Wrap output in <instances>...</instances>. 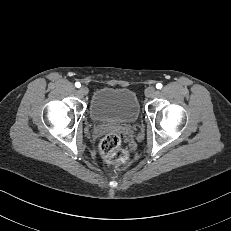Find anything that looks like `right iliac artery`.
I'll list each match as a JSON object with an SVG mask.
<instances>
[{
  "mask_svg": "<svg viewBox=\"0 0 231 231\" xmlns=\"http://www.w3.org/2000/svg\"><path fill=\"white\" fill-rule=\"evenodd\" d=\"M75 86H76L77 88H79V87L81 86V84H80L79 82H76V83H75Z\"/></svg>",
  "mask_w": 231,
  "mask_h": 231,
  "instance_id": "1",
  "label": "right iliac artery"
}]
</instances>
